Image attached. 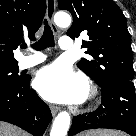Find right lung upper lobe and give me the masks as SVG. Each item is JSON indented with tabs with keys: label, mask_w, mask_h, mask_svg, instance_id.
Here are the masks:
<instances>
[{
	"label": "right lung upper lobe",
	"mask_w": 136,
	"mask_h": 136,
	"mask_svg": "<svg viewBox=\"0 0 136 136\" xmlns=\"http://www.w3.org/2000/svg\"><path fill=\"white\" fill-rule=\"evenodd\" d=\"M46 9L45 0H0V64L17 63L13 50L35 40Z\"/></svg>",
	"instance_id": "obj_1"
}]
</instances>
